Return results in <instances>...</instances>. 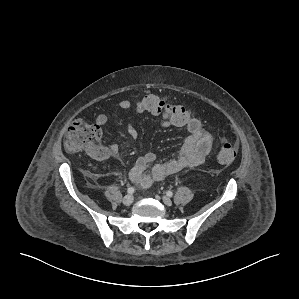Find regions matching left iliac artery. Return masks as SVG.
<instances>
[{
	"label": "left iliac artery",
	"instance_id": "44dca946",
	"mask_svg": "<svg viewBox=\"0 0 299 299\" xmlns=\"http://www.w3.org/2000/svg\"><path fill=\"white\" fill-rule=\"evenodd\" d=\"M166 194H167V196H169V197H172V196H173V193H172L171 191H167Z\"/></svg>",
	"mask_w": 299,
	"mask_h": 299
}]
</instances>
